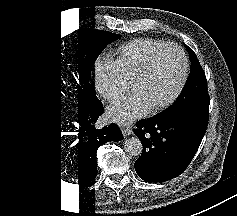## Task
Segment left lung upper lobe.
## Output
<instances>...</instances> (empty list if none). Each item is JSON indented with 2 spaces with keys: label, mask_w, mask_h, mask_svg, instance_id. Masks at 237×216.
<instances>
[{
  "label": "left lung upper lobe",
  "mask_w": 237,
  "mask_h": 216,
  "mask_svg": "<svg viewBox=\"0 0 237 216\" xmlns=\"http://www.w3.org/2000/svg\"><path fill=\"white\" fill-rule=\"evenodd\" d=\"M184 46L189 53L191 72L178 99L159 116L206 128L210 104L207 79L194 51L186 44Z\"/></svg>",
  "instance_id": "1"
}]
</instances>
